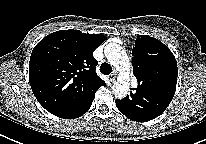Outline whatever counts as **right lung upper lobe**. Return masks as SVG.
<instances>
[{
	"mask_svg": "<svg viewBox=\"0 0 206 144\" xmlns=\"http://www.w3.org/2000/svg\"><path fill=\"white\" fill-rule=\"evenodd\" d=\"M106 37L61 30L47 35L33 49L29 82L38 102L63 117L84 104L105 82L96 74L94 50Z\"/></svg>",
	"mask_w": 206,
	"mask_h": 144,
	"instance_id": "right-lung-upper-lobe-1",
	"label": "right lung upper lobe"
}]
</instances>
